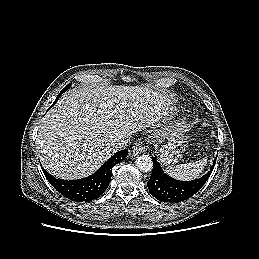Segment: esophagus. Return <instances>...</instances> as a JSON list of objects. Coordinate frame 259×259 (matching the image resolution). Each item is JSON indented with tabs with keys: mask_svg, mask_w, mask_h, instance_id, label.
I'll list each match as a JSON object with an SVG mask.
<instances>
[{
	"mask_svg": "<svg viewBox=\"0 0 259 259\" xmlns=\"http://www.w3.org/2000/svg\"><path fill=\"white\" fill-rule=\"evenodd\" d=\"M145 152V147L143 144L141 143H138V144H135L133 147H132V150H131V154L133 156H136V155H139L141 153H144Z\"/></svg>",
	"mask_w": 259,
	"mask_h": 259,
	"instance_id": "esophagus-1",
	"label": "esophagus"
}]
</instances>
